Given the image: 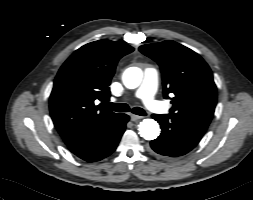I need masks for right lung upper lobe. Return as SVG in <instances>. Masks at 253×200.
I'll return each instance as SVG.
<instances>
[{
    "label": "right lung upper lobe",
    "mask_w": 253,
    "mask_h": 200,
    "mask_svg": "<svg viewBox=\"0 0 253 200\" xmlns=\"http://www.w3.org/2000/svg\"><path fill=\"white\" fill-rule=\"evenodd\" d=\"M133 50L120 42L99 40L76 50L62 65L50 95V114L67 145L101 131L120 116L95 101L109 100L116 64Z\"/></svg>",
    "instance_id": "cb5924a9"
}]
</instances>
